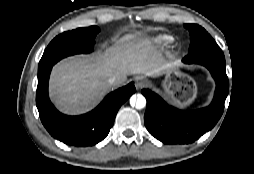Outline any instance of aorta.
I'll use <instances>...</instances> for the list:
<instances>
[{
  "mask_svg": "<svg viewBox=\"0 0 254 174\" xmlns=\"http://www.w3.org/2000/svg\"><path fill=\"white\" fill-rule=\"evenodd\" d=\"M130 103L137 109H142L146 106V99L142 94H137L131 97Z\"/></svg>",
  "mask_w": 254,
  "mask_h": 174,
  "instance_id": "obj_1",
  "label": "aorta"
}]
</instances>
